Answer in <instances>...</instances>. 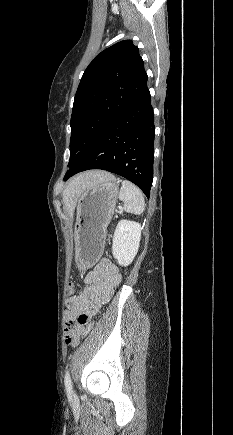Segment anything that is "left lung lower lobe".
Segmentation results:
<instances>
[{
	"label": "left lung lower lobe",
	"instance_id": "left-lung-lower-lobe-1",
	"mask_svg": "<svg viewBox=\"0 0 233 435\" xmlns=\"http://www.w3.org/2000/svg\"><path fill=\"white\" fill-rule=\"evenodd\" d=\"M154 114L148 88L108 128L88 154L71 167L67 180L89 169H103L125 177L149 197L153 180Z\"/></svg>",
	"mask_w": 233,
	"mask_h": 435
}]
</instances>
